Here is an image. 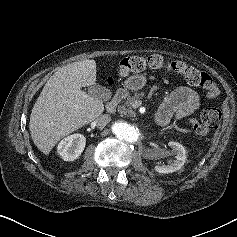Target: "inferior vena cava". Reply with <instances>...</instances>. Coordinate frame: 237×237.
Masks as SVG:
<instances>
[{
    "label": "inferior vena cava",
    "instance_id": "obj_1",
    "mask_svg": "<svg viewBox=\"0 0 237 237\" xmlns=\"http://www.w3.org/2000/svg\"><path fill=\"white\" fill-rule=\"evenodd\" d=\"M110 121H111V116L109 114H103V115L99 116L94 121V123H96V125L99 128H104Z\"/></svg>",
    "mask_w": 237,
    "mask_h": 237
}]
</instances>
